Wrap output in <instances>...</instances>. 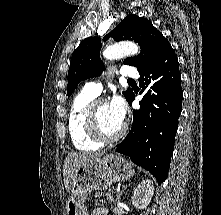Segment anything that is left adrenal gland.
I'll list each match as a JSON object with an SVG mask.
<instances>
[{
    "label": "left adrenal gland",
    "instance_id": "obj_1",
    "mask_svg": "<svg viewBox=\"0 0 221 215\" xmlns=\"http://www.w3.org/2000/svg\"><path fill=\"white\" fill-rule=\"evenodd\" d=\"M132 183L130 182L128 185H126V186H124L123 187V190H126L127 189V187H129L130 185H131ZM120 196H117V198H119ZM115 199H113V201H114Z\"/></svg>",
    "mask_w": 221,
    "mask_h": 215
}]
</instances>
